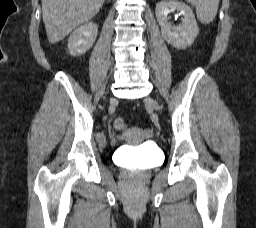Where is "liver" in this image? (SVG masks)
I'll use <instances>...</instances> for the list:
<instances>
[{"label":"liver","instance_id":"6515ba94","mask_svg":"<svg viewBox=\"0 0 256 228\" xmlns=\"http://www.w3.org/2000/svg\"><path fill=\"white\" fill-rule=\"evenodd\" d=\"M105 0H42V16L48 41L63 40L76 27L91 20Z\"/></svg>","mask_w":256,"mask_h":228}]
</instances>
